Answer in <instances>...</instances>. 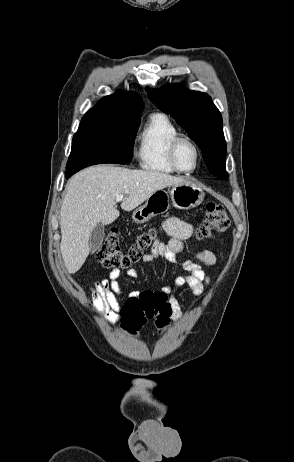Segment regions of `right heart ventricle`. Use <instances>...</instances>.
Segmentation results:
<instances>
[{
  "instance_id": "right-heart-ventricle-1",
  "label": "right heart ventricle",
  "mask_w": 294,
  "mask_h": 462,
  "mask_svg": "<svg viewBox=\"0 0 294 462\" xmlns=\"http://www.w3.org/2000/svg\"><path fill=\"white\" fill-rule=\"evenodd\" d=\"M180 135L172 120L163 113L152 114L138 135L137 158L141 168L160 174H173L168 150L171 141Z\"/></svg>"
}]
</instances>
